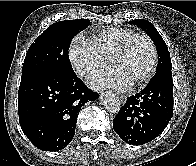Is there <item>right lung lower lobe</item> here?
Listing matches in <instances>:
<instances>
[{
	"label": "right lung lower lobe",
	"instance_id": "98d812e1",
	"mask_svg": "<svg viewBox=\"0 0 196 166\" xmlns=\"http://www.w3.org/2000/svg\"><path fill=\"white\" fill-rule=\"evenodd\" d=\"M98 97L76 74L66 76L51 71L24 74L18 92L22 131L41 150H61L75 135L83 104Z\"/></svg>",
	"mask_w": 196,
	"mask_h": 166
}]
</instances>
